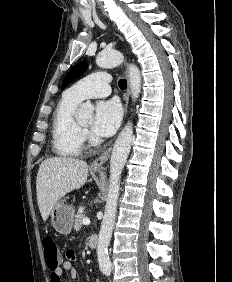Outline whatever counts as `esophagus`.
Wrapping results in <instances>:
<instances>
[{"instance_id": "esophagus-1", "label": "esophagus", "mask_w": 232, "mask_h": 282, "mask_svg": "<svg viewBox=\"0 0 232 282\" xmlns=\"http://www.w3.org/2000/svg\"><path fill=\"white\" fill-rule=\"evenodd\" d=\"M126 74H128V70L126 69ZM129 96H130V82L128 80V86H127V92L125 95V106L124 110L125 113H127V108H128V101H129ZM112 150V146L108 147L98 158H96L92 163L91 167L94 169L100 168L104 165V163L108 160L110 153Z\"/></svg>"}]
</instances>
